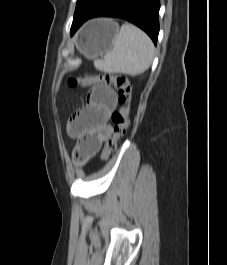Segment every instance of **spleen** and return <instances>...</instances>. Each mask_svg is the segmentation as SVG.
I'll list each match as a JSON object with an SVG mask.
<instances>
[{"label":"spleen","mask_w":227,"mask_h":265,"mask_svg":"<svg viewBox=\"0 0 227 265\" xmlns=\"http://www.w3.org/2000/svg\"><path fill=\"white\" fill-rule=\"evenodd\" d=\"M154 52L148 35L138 27L125 23L113 40V48L105 52L103 58L94 60V66L102 72L135 76L150 67Z\"/></svg>","instance_id":"spleen-1"}]
</instances>
